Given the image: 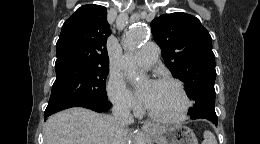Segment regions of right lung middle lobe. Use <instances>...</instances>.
Listing matches in <instances>:
<instances>
[{
    "label": "right lung middle lobe",
    "mask_w": 260,
    "mask_h": 144,
    "mask_svg": "<svg viewBox=\"0 0 260 144\" xmlns=\"http://www.w3.org/2000/svg\"><path fill=\"white\" fill-rule=\"evenodd\" d=\"M56 69V80L46 110L107 101L109 66L67 65Z\"/></svg>",
    "instance_id": "obj_1"
}]
</instances>
